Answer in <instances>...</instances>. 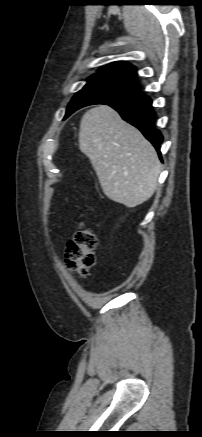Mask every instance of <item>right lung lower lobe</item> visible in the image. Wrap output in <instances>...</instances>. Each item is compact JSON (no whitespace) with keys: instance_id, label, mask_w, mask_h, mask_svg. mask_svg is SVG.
I'll list each match as a JSON object with an SVG mask.
<instances>
[{"instance_id":"right-lung-lower-lobe-1","label":"right lung lower lobe","mask_w":202,"mask_h":437,"mask_svg":"<svg viewBox=\"0 0 202 437\" xmlns=\"http://www.w3.org/2000/svg\"><path fill=\"white\" fill-rule=\"evenodd\" d=\"M107 105L118 111L125 121L139 128L159 152V155H161L160 144L163 141V137L160 131L153 126L155 113L152 109V101L148 96H139L134 99L121 100Z\"/></svg>"}]
</instances>
